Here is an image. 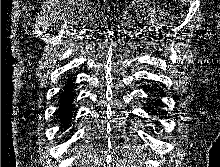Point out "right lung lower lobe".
I'll return each instance as SVG.
<instances>
[{
	"mask_svg": "<svg viewBox=\"0 0 220 167\" xmlns=\"http://www.w3.org/2000/svg\"><path fill=\"white\" fill-rule=\"evenodd\" d=\"M74 92H73V85L71 79L68 80L65 84L64 91L61 93L60 98V107L57 111L58 116L61 119V122L65 124V127L68 126V122H70V119L72 118V104L73 101Z\"/></svg>",
	"mask_w": 220,
	"mask_h": 167,
	"instance_id": "right-lung-lower-lobe-1",
	"label": "right lung lower lobe"
}]
</instances>
